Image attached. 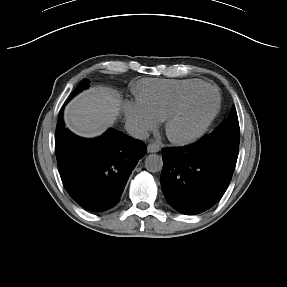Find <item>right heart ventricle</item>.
<instances>
[{"mask_svg": "<svg viewBox=\"0 0 287 287\" xmlns=\"http://www.w3.org/2000/svg\"><path fill=\"white\" fill-rule=\"evenodd\" d=\"M204 84L205 82L198 79H144L136 88L137 102L158 121H163L188 91Z\"/></svg>", "mask_w": 287, "mask_h": 287, "instance_id": "1", "label": "right heart ventricle"}]
</instances>
